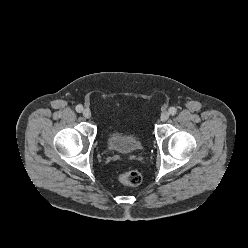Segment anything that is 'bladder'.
Returning <instances> with one entry per match:
<instances>
[{"mask_svg": "<svg viewBox=\"0 0 248 248\" xmlns=\"http://www.w3.org/2000/svg\"><path fill=\"white\" fill-rule=\"evenodd\" d=\"M107 146L116 152L132 154L138 152L143 144L141 139L132 133L110 128L106 134Z\"/></svg>", "mask_w": 248, "mask_h": 248, "instance_id": "1", "label": "bladder"}]
</instances>
